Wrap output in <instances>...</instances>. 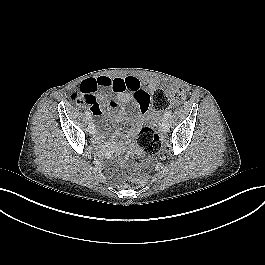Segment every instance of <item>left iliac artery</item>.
Returning a JSON list of instances; mask_svg holds the SVG:
<instances>
[{"instance_id": "1", "label": "left iliac artery", "mask_w": 265, "mask_h": 265, "mask_svg": "<svg viewBox=\"0 0 265 265\" xmlns=\"http://www.w3.org/2000/svg\"><path fill=\"white\" fill-rule=\"evenodd\" d=\"M171 114H172V113H171L170 110L166 111V113L164 114V119H168V118H170Z\"/></svg>"}]
</instances>
